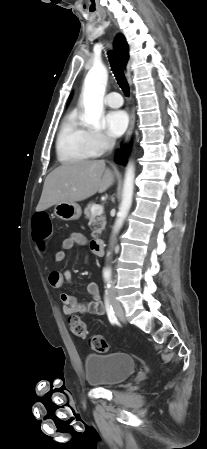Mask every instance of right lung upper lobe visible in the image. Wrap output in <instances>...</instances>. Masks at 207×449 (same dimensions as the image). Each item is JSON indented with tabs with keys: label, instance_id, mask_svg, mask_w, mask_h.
<instances>
[{
	"label": "right lung upper lobe",
	"instance_id": "1",
	"mask_svg": "<svg viewBox=\"0 0 207 449\" xmlns=\"http://www.w3.org/2000/svg\"><path fill=\"white\" fill-rule=\"evenodd\" d=\"M114 47L118 52L123 65L125 66L129 59V48L123 35H117L114 41Z\"/></svg>",
	"mask_w": 207,
	"mask_h": 449
}]
</instances>
